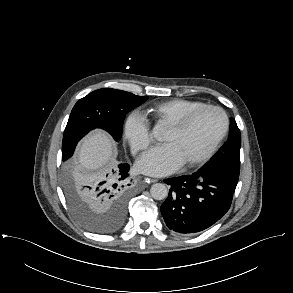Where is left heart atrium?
Segmentation results:
<instances>
[{
    "label": "left heart atrium",
    "mask_w": 293,
    "mask_h": 293,
    "mask_svg": "<svg viewBox=\"0 0 293 293\" xmlns=\"http://www.w3.org/2000/svg\"><path fill=\"white\" fill-rule=\"evenodd\" d=\"M182 164V160L173 146L164 144L143 154L137 162L136 168L145 174L162 176L172 173Z\"/></svg>",
    "instance_id": "obj_1"
}]
</instances>
